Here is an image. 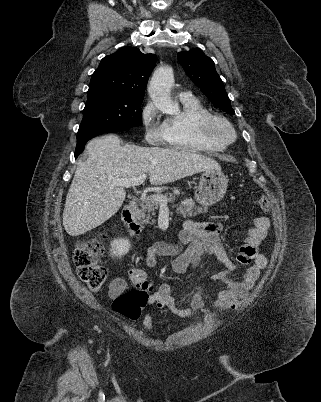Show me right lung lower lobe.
<instances>
[{"instance_id": "98d812e1", "label": "right lung lower lobe", "mask_w": 321, "mask_h": 402, "mask_svg": "<svg viewBox=\"0 0 321 402\" xmlns=\"http://www.w3.org/2000/svg\"><path fill=\"white\" fill-rule=\"evenodd\" d=\"M125 128H112V129H107V130H102V131H97L93 133H86V134H81L77 135V146L75 150V158L78 157L79 154H81L84 150L85 144L93 137L101 135L103 133H110V132H116L120 130H124Z\"/></svg>"}]
</instances>
